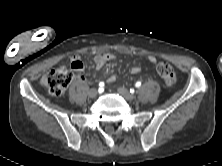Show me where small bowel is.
I'll return each instance as SVG.
<instances>
[{
	"label": "small bowel",
	"instance_id": "1",
	"mask_svg": "<svg viewBox=\"0 0 222 166\" xmlns=\"http://www.w3.org/2000/svg\"><path fill=\"white\" fill-rule=\"evenodd\" d=\"M114 60V56L111 53H99L94 56V64L96 70H101L106 64L112 62ZM151 61H154V57H150ZM71 67L76 71H81L83 69V62L79 56H74L71 59ZM132 74H137L141 71L140 67H132L131 68ZM79 79L81 81H85L83 76H80ZM115 81V76H110L108 82Z\"/></svg>",
	"mask_w": 222,
	"mask_h": 166
}]
</instances>
